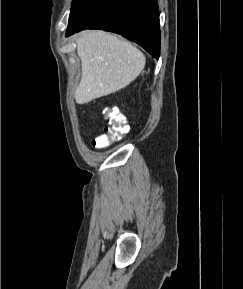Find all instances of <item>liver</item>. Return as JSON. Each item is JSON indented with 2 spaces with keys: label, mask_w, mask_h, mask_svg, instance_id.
<instances>
[{
  "label": "liver",
  "mask_w": 243,
  "mask_h": 289,
  "mask_svg": "<svg viewBox=\"0 0 243 289\" xmlns=\"http://www.w3.org/2000/svg\"><path fill=\"white\" fill-rule=\"evenodd\" d=\"M82 75L75 90L77 104L115 93L143 71L145 55L130 42L100 30L85 31L76 39Z\"/></svg>",
  "instance_id": "liver-1"
}]
</instances>
